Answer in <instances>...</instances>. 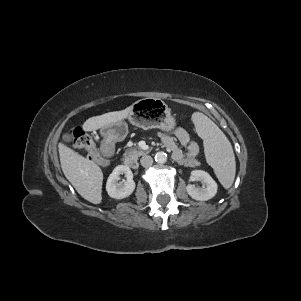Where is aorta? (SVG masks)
<instances>
[{
    "mask_svg": "<svg viewBox=\"0 0 301 301\" xmlns=\"http://www.w3.org/2000/svg\"><path fill=\"white\" fill-rule=\"evenodd\" d=\"M167 160V154L164 153V152H157L156 155H155V161L157 163H165Z\"/></svg>",
    "mask_w": 301,
    "mask_h": 301,
    "instance_id": "obj_1",
    "label": "aorta"
}]
</instances>
